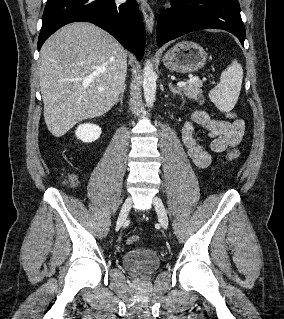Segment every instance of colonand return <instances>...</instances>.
<instances>
[{
  "label": "colon",
  "instance_id": "5ec220e1",
  "mask_svg": "<svg viewBox=\"0 0 284 319\" xmlns=\"http://www.w3.org/2000/svg\"><path fill=\"white\" fill-rule=\"evenodd\" d=\"M227 117H228L229 119H231V120H235V119H237V114H236L235 112H229V113L227 114ZM238 157H239V153H238V151H236V150L230 151V152L227 154V156H226V158H227L229 161H234V160H236ZM69 183H70L71 185H75V184H76V179L73 178V177H71V178L69 179ZM139 240H140V237H139L138 235H132V236H130V237L127 238L126 242H127L128 245H133V244H136Z\"/></svg>",
  "mask_w": 284,
  "mask_h": 319
}]
</instances>
